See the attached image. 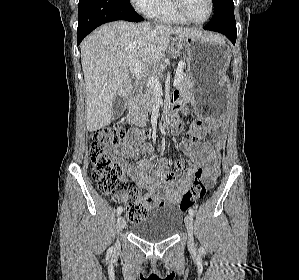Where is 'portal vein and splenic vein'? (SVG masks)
<instances>
[{
    "label": "portal vein and splenic vein",
    "instance_id": "1",
    "mask_svg": "<svg viewBox=\"0 0 299 280\" xmlns=\"http://www.w3.org/2000/svg\"><path fill=\"white\" fill-rule=\"evenodd\" d=\"M183 65H179L178 69L175 74L173 86H177L181 80L183 74ZM130 72L135 74L137 77L142 78L144 77V69L141 67L139 61H135L129 68ZM147 85L150 86L152 89L155 90L157 94H162V87L158 79L154 76L148 77Z\"/></svg>",
    "mask_w": 299,
    "mask_h": 280
}]
</instances>
